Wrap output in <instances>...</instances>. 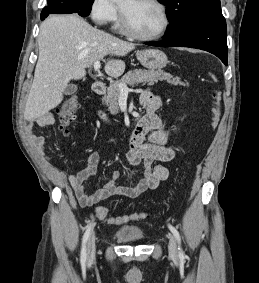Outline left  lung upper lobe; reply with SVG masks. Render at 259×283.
Segmentation results:
<instances>
[{
	"instance_id": "obj_1",
	"label": "left lung upper lobe",
	"mask_w": 259,
	"mask_h": 283,
	"mask_svg": "<svg viewBox=\"0 0 259 283\" xmlns=\"http://www.w3.org/2000/svg\"><path fill=\"white\" fill-rule=\"evenodd\" d=\"M167 7L170 27L166 34L185 30L202 19L221 12L220 0H158Z\"/></svg>"
}]
</instances>
